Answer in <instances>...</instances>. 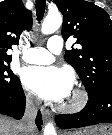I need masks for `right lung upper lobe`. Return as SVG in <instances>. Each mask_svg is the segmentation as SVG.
I'll return each instance as SVG.
<instances>
[{"label":"right lung upper lobe","mask_w":112,"mask_h":135,"mask_svg":"<svg viewBox=\"0 0 112 135\" xmlns=\"http://www.w3.org/2000/svg\"><path fill=\"white\" fill-rule=\"evenodd\" d=\"M32 27L31 11L25 9L21 0H5L0 2V61H11L7 50L19 44L24 29Z\"/></svg>","instance_id":"1"}]
</instances>
